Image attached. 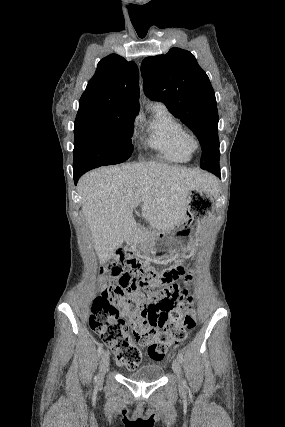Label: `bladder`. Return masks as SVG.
<instances>
[{
	"mask_svg": "<svg viewBox=\"0 0 285 427\" xmlns=\"http://www.w3.org/2000/svg\"><path fill=\"white\" fill-rule=\"evenodd\" d=\"M164 368L156 363L144 365L127 375V378L138 383L157 382L163 375Z\"/></svg>",
	"mask_w": 285,
	"mask_h": 427,
	"instance_id": "1",
	"label": "bladder"
}]
</instances>
